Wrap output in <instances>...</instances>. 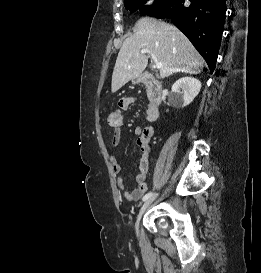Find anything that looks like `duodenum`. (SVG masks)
<instances>
[{
  "instance_id": "1",
  "label": "duodenum",
  "mask_w": 261,
  "mask_h": 273,
  "mask_svg": "<svg viewBox=\"0 0 261 273\" xmlns=\"http://www.w3.org/2000/svg\"><path fill=\"white\" fill-rule=\"evenodd\" d=\"M139 82L145 85L150 93L151 109L157 110L161 104L163 96L162 84L151 73L142 74Z\"/></svg>"
}]
</instances>
